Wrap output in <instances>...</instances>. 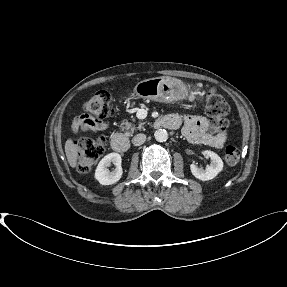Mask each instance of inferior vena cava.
I'll return each mask as SVG.
<instances>
[{"mask_svg": "<svg viewBox=\"0 0 287 287\" xmlns=\"http://www.w3.org/2000/svg\"><path fill=\"white\" fill-rule=\"evenodd\" d=\"M146 141V135L139 133L135 135L132 139V143L134 146H140Z\"/></svg>", "mask_w": 287, "mask_h": 287, "instance_id": "602c4592", "label": "inferior vena cava"}]
</instances>
